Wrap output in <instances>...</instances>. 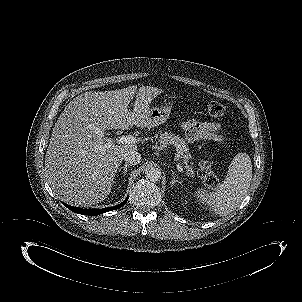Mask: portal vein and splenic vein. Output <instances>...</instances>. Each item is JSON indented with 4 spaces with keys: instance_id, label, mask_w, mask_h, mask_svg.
<instances>
[{
    "instance_id": "1",
    "label": "portal vein and splenic vein",
    "mask_w": 302,
    "mask_h": 302,
    "mask_svg": "<svg viewBox=\"0 0 302 302\" xmlns=\"http://www.w3.org/2000/svg\"><path fill=\"white\" fill-rule=\"evenodd\" d=\"M114 142H117L118 144H129V143L135 144L137 142V139L132 135H123L116 138L115 140L109 138L107 139V143L104 146V148L111 146ZM176 167L178 171L182 172V167L180 164H177Z\"/></svg>"
}]
</instances>
